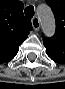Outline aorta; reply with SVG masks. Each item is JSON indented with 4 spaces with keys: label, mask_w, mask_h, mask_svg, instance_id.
<instances>
[{
    "label": "aorta",
    "mask_w": 65,
    "mask_h": 89,
    "mask_svg": "<svg viewBox=\"0 0 65 89\" xmlns=\"http://www.w3.org/2000/svg\"><path fill=\"white\" fill-rule=\"evenodd\" d=\"M37 12L44 34L52 36L55 32V18L51 8L46 4H42L38 7Z\"/></svg>",
    "instance_id": "aorta-1"
}]
</instances>
